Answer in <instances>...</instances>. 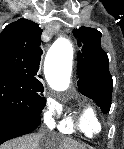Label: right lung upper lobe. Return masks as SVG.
I'll return each instance as SVG.
<instances>
[{"label": "right lung upper lobe", "instance_id": "1", "mask_svg": "<svg viewBox=\"0 0 124 149\" xmlns=\"http://www.w3.org/2000/svg\"><path fill=\"white\" fill-rule=\"evenodd\" d=\"M41 33L37 23L23 18L6 26L0 34V71L43 88L39 73Z\"/></svg>", "mask_w": 124, "mask_h": 149}]
</instances>
